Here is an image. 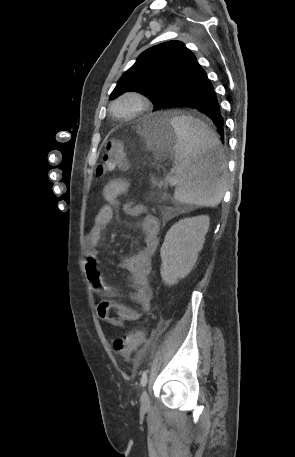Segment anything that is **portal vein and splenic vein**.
I'll return each mask as SVG.
<instances>
[{
    "label": "portal vein and splenic vein",
    "mask_w": 295,
    "mask_h": 457,
    "mask_svg": "<svg viewBox=\"0 0 295 457\" xmlns=\"http://www.w3.org/2000/svg\"><path fill=\"white\" fill-rule=\"evenodd\" d=\"M171 173H173V171H171ZM166 181H168L170 183H174L175 179L171 175H167L166 176Z\"/></svg>",
    "instance_id": "1"
}]
</instances>
